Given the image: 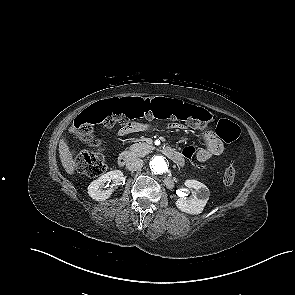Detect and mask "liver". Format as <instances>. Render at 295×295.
<instances>
[{
	"label": "liver",
	"mask_w": 295,
	"mask_h": 295,
	"mask_svg": "<svg viewBox=\"0 0 295 295\" xmlns=\"http://www.w3.org/2000/svg\"><path fill=\"white\" fill-rule=\"evenodd\" d=\"M59 154H60L61 163H62L65 171L70 175L74 174L75 161L73 159V155L69 149V146L65 142V139L60 140Z\"/></svg>",
	"instance_id": "liver-1"
}]
</instances>
